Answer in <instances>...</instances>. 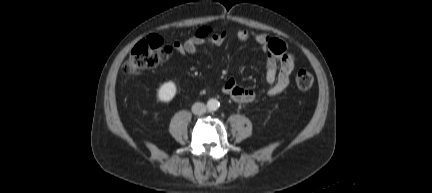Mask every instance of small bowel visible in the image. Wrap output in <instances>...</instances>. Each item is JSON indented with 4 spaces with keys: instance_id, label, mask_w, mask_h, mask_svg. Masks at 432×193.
<instances>
[{
    "instance_id": "c3829d8e",
    "label": "small bowel",
    "mask_w": 432,
    "mask_h": 193,
    "mask_svg": "<svg viewBox=\"0 0 432 193\" xmlns=\"http://www.w3.org/2000/svg\"><path fill=\"white\" fill-rule=\"evenodd\" d=\"M241 42L253 39L267 54L265 80L269 85L267 94L276 96L282 93L290 83V75L294 69L295 56L288 52L286 43L264 33H254L246 29L237 31ZM225 34L212 31L209 27L200 28L196 34L184 42H175L173 48L179 54H195L204 44L219 46L224 41ZM223 92L236 102L247 103L257 98V93L229 79L223 86Z\"/></svg>"
}]
</instances>
